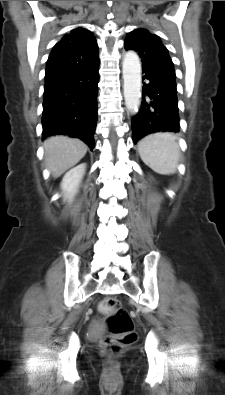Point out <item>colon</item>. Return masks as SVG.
Instances as JSON below:
<instances>
[{"label": "colon", "mask_w": 225, "mask_h": 395, "mask_svg": "<svg viewBox=\"0 0 225 395\" xmlns=\"http://www.w3.org/2000/svg\"><path fill=\"white\" fill-rule=\"evenodd\" d=\"M102 309L107 313V334L101 339L100 346L105 354L118 356L137 340L133 320L115 298H106Z\"/></svg>", "instance_id": "colon-1"}]
</instances>
